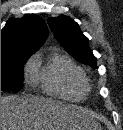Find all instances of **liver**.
<instances>
[{"label": "liver", "instance_id": "obj_1", "mask_svg": "<svg viewBox=\"0 0 123 130\" xmlns=\"http://www.w3.org/2000/svg\"><path fill=\"white\" fill-rule=\"evenodd\" d=\"M84 110L52 98L32 95L1 97V130H96Z\"/></svg>", "mask_w": 123, "mask_h": 130}]
</instances>
